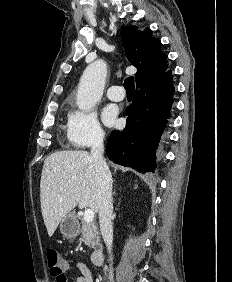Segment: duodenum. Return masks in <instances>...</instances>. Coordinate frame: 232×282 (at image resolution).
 Instances as JSON below:
<instances>
[{"mask_svg": "<svg viewBox=\"0 0 232 282\" xmlns=\"http://www.w3.org/2000/svg\"><path fill=\"white\" fill-rule=\"evenodd\" d=\"M104 256L103 251L100 248H95L91 253V261L96 266H101L103 264Z\"/></svg>", "mask_w": 232, "mask_h": 282, "instance_id": "410a0bca", "label": "duodenum"}]
</instances>
